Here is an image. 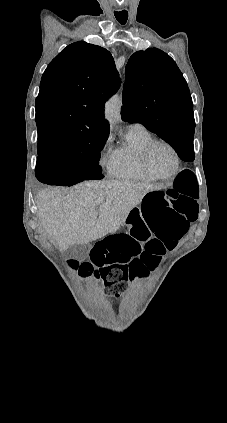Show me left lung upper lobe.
<instances>
[{"instance_id": "1", "label": "left lung upper lobe", "mask_w": 227, "mask_h": 423, "mask_svg": "<svg viewBox=\"0 0 227 423\" xmlns=\"http://www.w3.org/2000/svg\"><path fill=\"white\" fill-rule=\"evenodd\" d=\"M122 119L139 122L170 145L193 141L195 120L186 80L157 48L134 53L125 69Z\"/></svg>"}]
</instances>
